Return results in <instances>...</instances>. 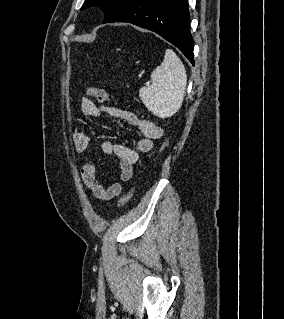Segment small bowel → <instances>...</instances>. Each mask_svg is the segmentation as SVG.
<instances>
[{
    "instance_id": "small-bowel-1",
    "label": "small bowel",
    "mask_w": 284,
    "mask_h": 319,
    "mask_svg": "<svg viewBox=\"0 0 284 319\" xmlns=\"http://www.w3.org/2000/svg\"><path fill=\"white\" fill-rule=\"evenodd\" d=\"M81 111L84 115L99 118L104 115L120 118L127 123L137 126L142 134V139L138 141L134 148H129L121 143L105 141L102 150L108 155H114L119 161L120 179L123 182L129 181L134 172V166L139 161L142 154L153 148L154 142L163 136V129L155 122L148 119H141L133 112L112 106L97 105L88 98L81 100ZM75 151L79 154L85 153L90 147L89 135L78 130L73 135ZM82 180L92 194L99 200L108 201L122 192L120 182H111L107 187L101 182L97 168L92 161H87L81 169Z\"/></svg>"
}]
</instances>
